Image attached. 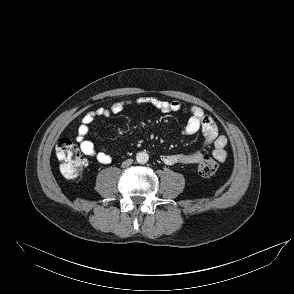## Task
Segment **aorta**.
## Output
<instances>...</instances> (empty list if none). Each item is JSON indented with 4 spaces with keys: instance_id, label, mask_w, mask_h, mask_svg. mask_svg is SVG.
<instances>
[{
    "instance_id": "1",
    "label": "aorta",
    "mask_w": 294,
    "mask_h": 294,
    "mask_svg": "<svg viewBox=\"0 0 294 294\" xmlns=\"http://www.w3.org/2000/svg\"><path fill=\"white\" fill-rule=\"evenodd\" d=\"M136 160L139 164H145L149 160V155L145 151L138 152L136 154Z\"/></svg>"
}]
</instances>
